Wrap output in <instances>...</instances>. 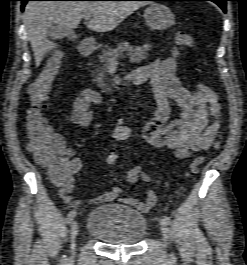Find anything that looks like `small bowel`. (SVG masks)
<instances>
[{"instance_id": "c3829d8e", "label": "small bowel", "mask_w": 247, "mask_h": 265, "mask_svg": "<svg viewBox=\"0 0 247 265\" xmlns=\"http://www.w3.org/2000/svg\"><path fill=\"white\" fill-rule=\"evenodd\" d=\"M177 67L178 62L172 57L156 59L132 74L140 83L149 81L156 102V110L143 129L144 140L153 147L173 150L178 159H187L198 151L219 147L221 104L217 93L205 84L199 83L192 89L185 87L176 75ZM100 102L101 95L97 91L84 89L72 102L70 121L86 129L94 117L93 106ZM172 102L181 109L180 116L174 120H170ZM210 120L213 122L210 123ZM112 136L117 141H125L132 136V130L126 124H118L113 128ZM63 153L69 161L70 172L65 179H52V183L58 188L61 200L69 207L76 208L83 203L73 195L74 176L81 169L82 160L70 148L64 147ZM126 177L131 184L139 180L150 183L152 180L137 165L128 171ZM116 200L146 213L156 205L157 197L153 190H147L144 201L122 197V188L115 186L89 201L106 204Z\"/></svg>"}]
</instances>
